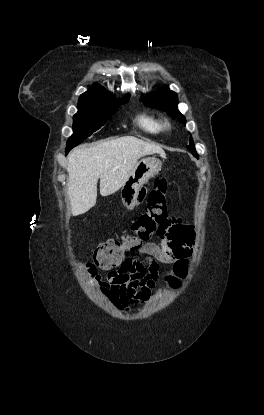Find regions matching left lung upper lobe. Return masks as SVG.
I'll return each mask as SVG.
<instances>
[{
	"mask_svg": "<svg viewBox=\"0 0 264 415\" xmlns=\"http://www.w3.org/2000/svg\"><path fill=\"white\" fill-rule=\"evenodd\" d=\"M140 100L151 108L167 111L173 119L177 118L180 123L185 125L186 119L178 110V96L175 92L169 90L168 87L149 94ZM187 149L190 150L195 157H198L192 137H190V145L187 146Z\"/></svg>",
	"mask_w": 264,
	"mask_h": 415,
	"instance_id": "left-lung-upper-lobe-1",
	"label": "left lung upper lobe"
}]
</instances>
